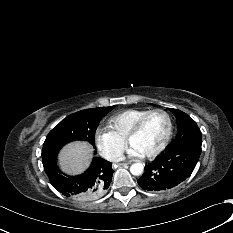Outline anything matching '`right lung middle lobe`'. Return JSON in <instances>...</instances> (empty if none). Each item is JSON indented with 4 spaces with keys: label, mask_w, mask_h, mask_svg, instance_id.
<instances>
[{
    "label": "right lung middle lobe",
    "mask_w": 233,
    "mask_h": 233,
    "mask_svg": "<svg viewBox=\"0 0 233 233\" xmlns=\"http://www.w3.org/2000/svg\"><path fill=\"white\" fill-rule=\"evenodd\" d=\"M113 107L85 109L62 120L46 137L42 149L43 163L55 159L62 146L71 141L85 140L94 145L99 122Z\"/></svg>",
    "instance_id": "right-lung-middle-lobe-1"
}]
</instances>
